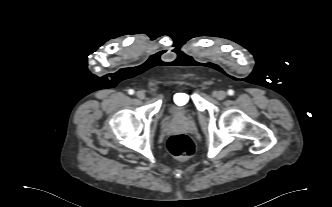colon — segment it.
Masks as SVG:
<instances>
[{
	"label": "colon",
	"mask_w": 332,
	"mask_h": 207,
	"mask_svg": "<svg viewBox=\"0 0 332 207\" xmlns=\"http://www.w3.org/2000/svg\"><path fill=\"white\" fill-rule=\"evenodd\" d=\"M170 153L179 158L187 159L191 157L195 151L192 140L185 134H175L171 136L167 143Z\"/></svg>",
	"instance_id": "colon-1"
}]
</instances>
